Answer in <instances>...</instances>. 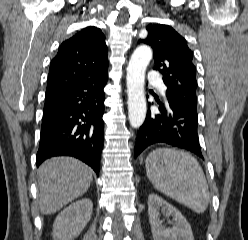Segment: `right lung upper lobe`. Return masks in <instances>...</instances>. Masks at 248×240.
<instances>
[{
  "label": "right lung upper lobe",
  "mask_w": 248,
  "mask_h": 240,
  "mask_svg": "<svg viewBox=\"0 0 248 240\" xmlns=\"http://www.w3.org/2000/svg\"><path fill=\"white\" fill-rule=\"evenodd\" d=\"M107 50L104 34L94 26L64 41L50 63L46 93L107 76Z\"/></svg>",
  "instance_id": "cb5924a9"
}]
</instances>
